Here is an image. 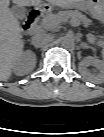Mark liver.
I'll use <instances>...</instances> for the list:
<instances>
[{
  "instance_id": "liver-1",
  "label": "liver",
  "mask_w": 104,
  "mask_h": 137,
  "mask_svg": "<svg viewBox=\"0 0 104 137\" xmlns=\"http://www.w3.org/2000/svg\"><path fill=\"white\" fill-rule=\"evenodd\" d=\"M1 0L0 11V79L6 81L11 77V69L22 54L24 42L21 39V29L17 18ZM17 6H40L41 0H12ZM53 6L69 7L83 0H46Z\"/></svg>"
}]
</instances>
